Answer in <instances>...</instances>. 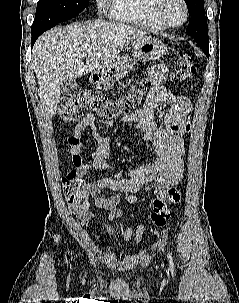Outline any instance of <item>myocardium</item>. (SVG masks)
Instances as JSON below:
<instances>
[{
    "mask_svg": "<svg viewBox=\"0 0 239 303\" xmlns=\"http://www.w3.org/2000/svg\"><path fill=\"white\" fill-rule=\"evenodd\" d=\"M181 2V4L183 5V9H184V18L182 20V22L178 23V24H173L170 23L163 15L162 13V6L165 2V0H153L150 8H151V12L153 15V18L155 19L156 22H158L160 25H162L164 28H179L181 26H183L189 17V7L188 4L186 2V0H179Z\"/></svg>",
    "mask_w": 239,
    "mask_h": 303,
    "instance_id": "1",
    "label": "myocardium"
}]
</instances>
